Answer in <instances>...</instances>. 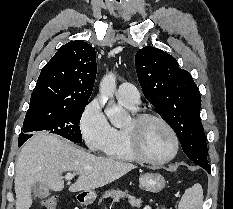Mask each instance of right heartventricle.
<instances>
[{"label":"right heart ventricle","instance_id":"e07e8e85","mask_svg":"<svg viewBox=\"0 0 233 209\" xmlns=\"http://www.w3.org/2000/svg\"><path fill=\"white\" fill-rule=\"evenodd\" d=\"M120 103L132 112L137 111V108L131 107L123 102ZM101 151L106 157L111 159L126 162H134L137 160L128 148L125 129H114L112 141Z\"/></svg>","mask_w":233,"mask_h":209}]
</instances>
